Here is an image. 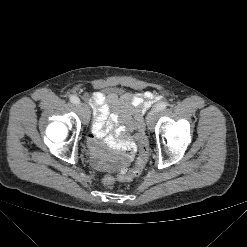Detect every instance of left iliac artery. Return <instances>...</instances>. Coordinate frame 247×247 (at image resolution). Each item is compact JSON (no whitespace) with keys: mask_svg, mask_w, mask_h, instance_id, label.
Wrapping results in <instances>:
<instances>
[{"mask_svg":"<svg viewBox=\"0 0 247 247\" xmlns=\"http://www.w3.org/2000/svg\"><path fill=\"white\" fill-rule=\"evenodd\" d=\"M167 106H168L167 103L161 102V103L156 105L155 109L157 110V112H159L161 110H164Z\"/></svg>","mask_w":247,"mask_h":247,"instance_id":"44dca946","label":"left iliac artery"}]
</instances>
